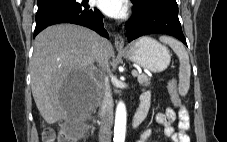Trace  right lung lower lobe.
I'll use <instances>...</instances> for the list:
<instances>
[{"instance_id":"obj_1","label":"right lung lower lobe","mask_w":227,"mask_h":142,"mask_svg":"<svg viewBox=\"0 0 227 142\" xmlns=\"http://www.w3.org/2000/svg\"><path fill=\"white\" fill-rule=\"evenodd\" d=\"M102 13L88 6V0L63 2L38 8L34 37L46 27L58 23L86 26L109 39L102 22Z\"/></svg>"}]
</instances>
